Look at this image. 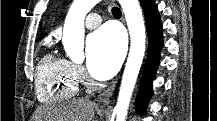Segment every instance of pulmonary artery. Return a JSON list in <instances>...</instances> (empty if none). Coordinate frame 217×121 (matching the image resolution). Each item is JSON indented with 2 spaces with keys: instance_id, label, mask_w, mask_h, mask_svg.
I'll use <instances>...</instances> for the list:
<instances>
[{
  "instance_id": "e3ab8cb5",
  "label": "pulmonary artery",
  "mask_w": 217,
  "mask_h": 121,
  "mask_svg": "<svg viewBox=\"0 0 217 121\" xmlns=\"http://www.w3.org/2000/svg\"><path fill=\"white\" fill-rule=\"evenodd\" d=\"M102 21V16L99 13H91L86 17L85 26L88 29H95Z\"/></svg>"
}]
</instances>
